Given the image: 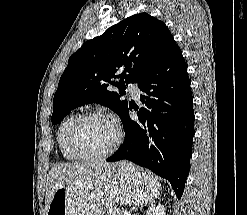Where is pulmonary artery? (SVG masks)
Masks as SVG:
<instances>
[{"label":"pulmonary artery","mask_w":247,"mask_h":215,"mask_svg":"<svg viewBox=\"0 0 247 215\" xmlns=\"http://www.w3.org/2000/svg\"><path fill=\"white\" fill-rule=\"evenodd\" d=\"M128 90L130 94L135 98L138 99L140 96V89L137 84H129L128 85Z\"/></svg>","instance_id":"obj_1"}]
</instances>
